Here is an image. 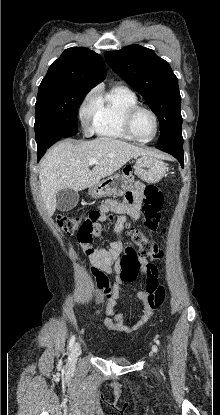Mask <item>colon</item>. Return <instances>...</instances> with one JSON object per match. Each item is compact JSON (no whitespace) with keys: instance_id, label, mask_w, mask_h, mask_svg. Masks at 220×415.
Returning <instances> with one entry per match:
<instances>
[{"instance_id":"5ec220e1","label":"colon","mask_w":220,"mask_h":415,"mask_svg":"<svg viewBox=\"0 0 220 415\" xmlns=\"http://www.w3.org/2000/svg\"><path fill=\"white\" fill-rule=\"evenodd\" d=\"M162 204L161 190L156 186H147L144 191L142 213L144 226L151 232L158 230ZM96 216L93 212L85 217L60 214L56 217V224L62 233L73 234L82 231L89 240L91 238L89 225L95 221ZM130 235L132 245L127 246L120 260L121 280L125 283L134 282L141 268V260H146L148 262L145 284L147 300L154 308H161L165 301V292L158 281V269L153 262L162 258L163 250L136 228L130 229Z\"/></svg>"}]
</instances>
